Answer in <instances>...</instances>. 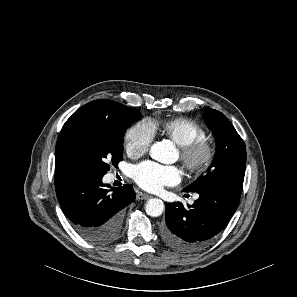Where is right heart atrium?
<instances>
[{"label":"right heart atrium","mask_w":297,"mask_h":297,"mask_svg":"<svg viewBox=\"0 0 297 297\" xmlns=\"http://www.w3.org/2000/svg\"><path fill=\"white\" fill-rule=\"evenodd\" d=\"M154 133L148 121H140L131 126L125 133L124 143L128 155L140 157L150 148Z\"/></svg>","instance_id":"obj_1"}]
</instances>
